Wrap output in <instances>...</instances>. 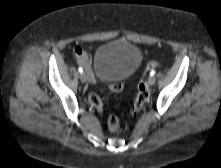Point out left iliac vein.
<instances>
[{
  "instance_id": "4c4485c4",
  "label": "left iliac vein",
  "mask_w": 221,
  "mask_h": 168,
  "mask_svg": "<svg viewBox=\"0 0 221 168\" xmlns=\"http://www.w3.org/2000/svg\"><path fill=\"white\" fill-rule=\"evenodd\" d=\"M155 82H156V78H155L154 76H150V77L148 78V84H149V85H154Z\"/></svg>"
}]
</instances>
